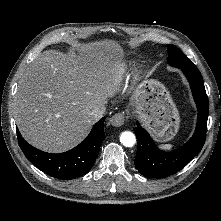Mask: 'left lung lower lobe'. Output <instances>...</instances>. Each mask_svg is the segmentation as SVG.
Returning <instances> with one entry per match:
<instances>
[{"label":"left lung lower lobe","mask_w":221,"mask_h":221,"mask_svg":"<svg viewBox=\"0 0 221 221\" xmlns=\"http://www.w3.org/2000/svg\"><path fill=\"white\" fill-rule=\"evenodd\" d=\"M190 82L194 100L198 108V120L194 135L181 148L173 152L160 151L148 132L137 122L134 129L137 137L135 167L144 176L162 178L183 169L202 149L206 139L208 118V98L199 70L195 65L181 67Z\"/></svg>","instance_id":"0a47b994"}]
</instances>
